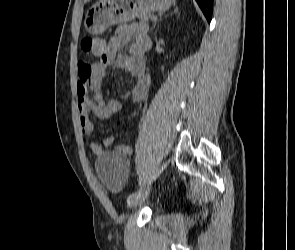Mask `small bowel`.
I'll use <instances>...</instances> for the list:
<instances>
[{"mask_svg": "<svg viewBox=\"0 0 295 250\" xmlns=\"http://www.w3.org/2000/svg\"><path fill=\"white\" fill-rule=\"evenodd\" d=\"M133 40L129 55H121L119 52ZM150 47V39L146 28L140 25H122L117 28L115 35L108 41L103 39L99 50L93 52L100 58L98 63L78 62L77 100L79 122L84 135L93 132V123L90 115L100 120L110 119L121 110V103L115 99L105 100L99 89L104 74L111 69H124L133 78L134 84L131 90V98L134 102L145 100L148 95L151 79L146 72L144 54ZM114 137L104 140V146L113 145ZM93 154L99 155L103 148L95 142H90ZM120 153L130 155L129 146L118 147Z\"/></svg>", "mask_w": 295, "mask_h": 250, "instance_id": "c3829d8e", "label": "small bowel"}]
</instances>
